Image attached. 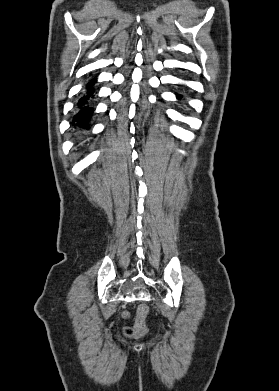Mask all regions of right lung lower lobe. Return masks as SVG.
<instances>
[{"label":"right lung lower lobe","mask_w":279,"mask_h":391,"mask_svg":"<svg viewBox=\"0 0 279 391\" xmlns=\"http://www.w3.org/2000/svg\"><path fill=\"white\" fill-rule=\"evenodd\" d=\"M94 82H95V80L90 81L88 86L90 87L91 85L94 84ZM93 92L94 91L92 89H89L87 92V95L83 96L79 100L78 105L80 107V110L74 116L73 121H72L74 126L85 127L88 124V122L94 112V109L88 105V99L93 95Z\"/></svg>","instance_id":"1"}]
</instances>
